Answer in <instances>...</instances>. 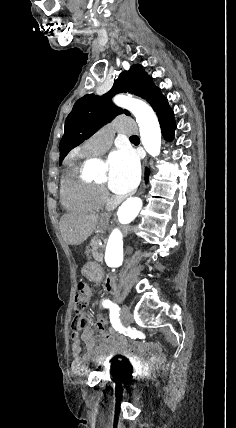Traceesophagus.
<instances>
[{
	"mask_svg": "<svg viewBox=\"0 0 236 428\" xmlns=\"http://www.w3.org/2000/svg\"><path fill=\"white\" fill-rule=\"evenodd\" d=\"M143 192H144V186H143V183H142V185L139 188L138 194L141 195Z\"/></svg>",
	"mask_w": 236,
	"mask_h": 428,
	"instance_id": "esophagus-1",
	"label": "esophagus"
}]
</instances>
